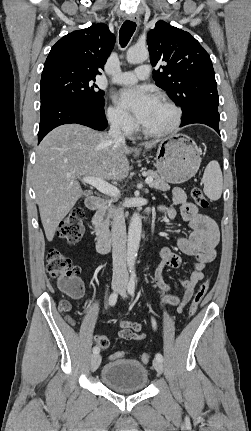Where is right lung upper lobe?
Instances as JSON below:
<instances>
[{
    "label": "right lung upper lobe",
    "mask_w": 251,
    "mask_h": 431,
    "mask_svg": "<svg viewBox=\"0 0 251 431\" xmlns=\"http://www.w3.org/2000/svg\"><path fill=\"white\" fill-rule=\"evenodd\" d=\"M115 36L103 23L73 31L62 37L51 49L44 68L68 65L81 72L96 76L109 57Z\"/></svg>",
    "instance_id": "right-lung-upper-lobe-1"
}]
</instances>
